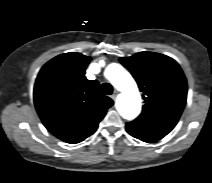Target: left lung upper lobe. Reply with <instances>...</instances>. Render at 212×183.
<instances>
[{"label":"left lung upper lobe","instance_id":"5c2ea615","mask_svg":"<svg viewBox=\"0 0 212 183\" xmlns=\"http://www.w3.org/2000/svg\"><path fill=\"white\" fill-rule=\"evenodd\" d=\"M143 93V111L126 126L167 135L177 124L187 97L186 78L172 58L154 52H140L120 58Z\"/></svg>","mask_w":212,"mask_h":183}]
</instances>
